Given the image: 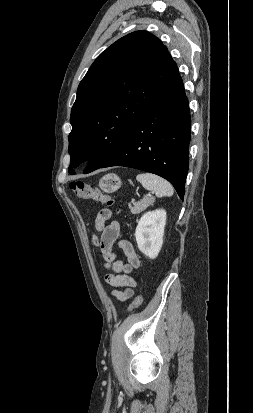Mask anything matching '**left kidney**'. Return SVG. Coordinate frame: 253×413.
I'll list each match as a JSON object with an SVG mask.
<instances>
[{
    "mask_svg": "<svg viewBox=\"0 0 253 413\" xmlns=\"http://www.w3.org/2000/svg\"><path fill=\"white\" fill-rule=\"evenodd\" d=\"M166 211L157 209L145 213L138 222L135 237L139 250L150 259H155L162 247Z\"/></svg>",
    "mask_w": 253,
    "mask_h": 413,
    "instance_id": "obj_1",
    "label": "left kidney"
}]
</instances>
